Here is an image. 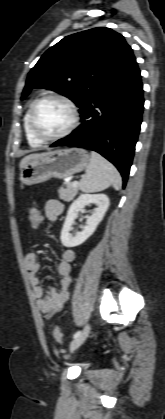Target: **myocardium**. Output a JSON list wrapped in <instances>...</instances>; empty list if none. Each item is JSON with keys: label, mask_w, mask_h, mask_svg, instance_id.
<instances>
[{"label": "myocardium", "mask_w": 165, "mask_h": 419, "mask_svg": "<svg viewBox=\"0 0 165 419\" xmlns=\"http://www.w3.org/2000/svg\"><path fill=\"white\" fill-rule=\"evenodd\" d=\"M47 100H55V101H59L63 103L69 109L70 114H71V121L69 125L61 133L54 136L42 135L38 131L36 127V122H35V114H36L37 108L39 107L41 103ZM78 122H79V112L76 105L69 98L62 95H58V94H48L37 99L36 101L33 102L30 108V112H29V127L31 130V133L37 140H39L42 143L54 142V141H58L67 137L77 127Z\"/></svg>", "instance_id": "1"}]
</instances>
